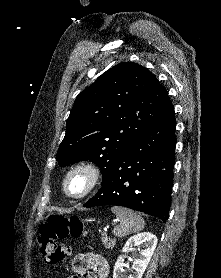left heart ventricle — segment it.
Returning <instances> with one entry per match:
<instances>
[{"instance_id":"1","label":"left heart ventricle","mask_w":221,"mask_h":278,"mask_svg":"<svg viewBox=\"0 0 221 278\" xmlns=\"http://www.w3.org/2000/svg\"><path fill=\"white\" fill-rule=\"evenodd\" d=\"M85 184V178L81 174L74 175L70 181H69V186L68 190L70 193H78L80 192Z\"/></svg>"}]
</instances>
